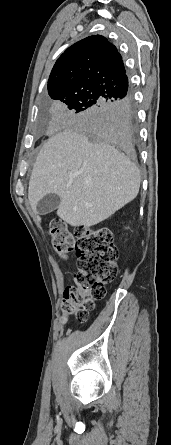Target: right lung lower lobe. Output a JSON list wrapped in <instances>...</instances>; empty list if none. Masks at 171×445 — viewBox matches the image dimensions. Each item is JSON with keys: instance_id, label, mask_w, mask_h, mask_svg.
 <instances>
[{"instance_id": "obj_1", "label": "right lung lower lobe", "mask_w": 171, "mask_h": 445, "mask_svg": "<svg viewBox=\"0 0 171 445\" xmlns=\"http://www.w3.org/2000/svg\"><path fill=\"white\" fill-rule=\"evenodd\" d=\"M99 138L134 154L135 126L131 95L121 100H106L96 115Z\"/></svg>"}]
</instances>
